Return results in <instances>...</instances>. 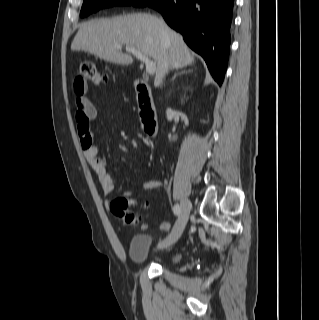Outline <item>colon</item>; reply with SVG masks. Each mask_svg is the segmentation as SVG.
Wrapping results in <instances>:
<instances>
[{
	"label": "colon",
	"instance_id": "obj_1",
	"mask_svg": "<svg viewBox=\"0 0 319 320\" xmlns=\"http://www.w3.org/2000/svg\"><path fill=\"white\" fill-rule=\"evenodd\" d=\"M108 80L106 73H101L97 64L93 61H83L79 65V74L75 80L77 86H84L87 83L99 85ZM79 135L82 142L86 145H90L94 141V132L90 126L89 120L86 116L82 115L78 124ZM135 201L126 198H116L110 203L111 212L123 220L126 225H139L141 224V218L137 216L132 210V206ZM161 231H168L170 224L162 222L159 225Z\"/></svg>",
	"mask_w": 319,
	"mask_h": 320
}]
</instances>
